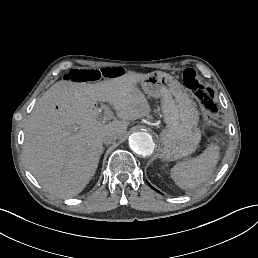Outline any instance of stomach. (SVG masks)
<instances>
[{
  "mask_svg": "<svg viewBox=\"0 0 258 258\" xmlns=\"http://www.w3.org/2000/svg\"><path fill=\"white\" fill-rule=\"evenodd\" d=\"M141 87L150 97L161 99L166 128L161 134L160 158L164 162L195 152L201 139L195 102L174 77L154 72L142 77Z\"/></svg>",
  "mask_w": 258,
  "mask_h": 258,
  "instance_id": "obj_1",
  "label": "stomach"
}]
</instances>
